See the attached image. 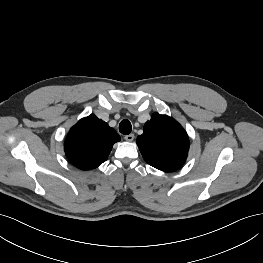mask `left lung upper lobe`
<instances>
[{
	"instance_id": "obj_1",
	"label": "left lung upper lobe",
	"mask_w": 263,
	"mask_h": 263,
	"mask_svg": "<svg viewBox=\"0 0 263 263\" xmlns=\"http://www.w3.org/2000/svg\"><path fill=\"white\" fill-rule=\"evenodd\" d=\"M137 145L144 160L162 171H175L186 161L189 139L186 131L173 118L155 113L144 125Z\"/></svg>"
}]
</instances>
